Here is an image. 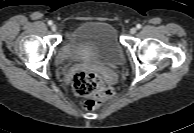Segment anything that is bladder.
Instances as JSON below:
<instances>
[{
	"instance_id": "31cf9c89",
	"label": "bladder",
	"mask_w": 194,
	"mask_h": 133,
	"mask_svg": "<svg viewBox=\"0 0 194 133\" xmlns=\"http://www.w3.org/2000/svg\"><path fill=\"white\" fill-rule=\"evenodd\" d=\"M62 54L68 61L117 65L124 53L114 27L99 20L85 21L65 41Z\"/></svg>"
}]
</instances>
